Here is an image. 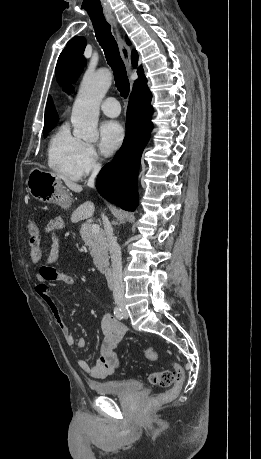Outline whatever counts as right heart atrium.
<instances>
[{
    "label": "right heart atrium",
    "instance_id": "d8ad5b80",
    "mask_svg": "<svg viewBox=\"0 0 261 459\" xmlns=\"http://www.w3.org/2000/svg\"><path fill=\"white\" fill-rule=\"evenodd\" d=\"M101 158L91 144L83 143L78 157V169L80 175H87L99 169Z\"/></svg>",
    "mask_w": 261,
    "mask_h": 459
}]
</instances>
